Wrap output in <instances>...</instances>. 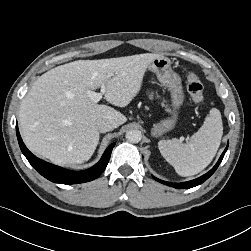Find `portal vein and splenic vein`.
<instances>
[{"mask_svg": "<svg viewBox=\"0 0 251 251\" xmlns=\"http://www.w3.org/2000/svg\"><path fill=\"white\" fill-rule=\"evenodd\" d=\"M104 93H105V86L104 84H102L101 91L99 93L94 91H89L88 96L93 102L97 103L102 99Z\"/></svg>", "mask_w": 251, "mask_h": 251, "instance_id": "18ae733b", "label": "portal vein and splenic vein"}]
</instances>
